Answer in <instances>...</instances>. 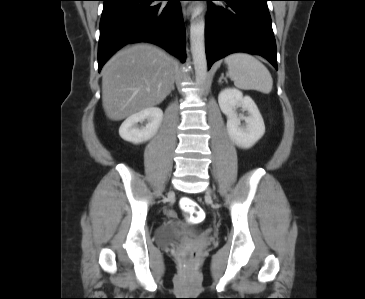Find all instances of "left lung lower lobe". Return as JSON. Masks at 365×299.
<instances>
[{
  "label": "left lung lower lobe",
  "instance_id": "left-lung-lower-lobe-1",
  "mask_svg": "<svg viewBox=\"0 0 365 299\" xmlns=\"http://www.w3.org/2000/svg\"><path fill=\"white\" fill-rule=\"evenodd\" d=\"M205 48L208 69L234 52L261 55L276 69V42L273 35L268 0H205ZM211 1H224L216 6Z\"/></svg>",
  "mask_w": 365,
  "mask_h": 299
}]
</instances>
